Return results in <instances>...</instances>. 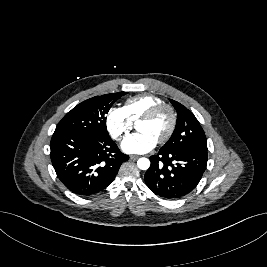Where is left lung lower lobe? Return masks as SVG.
Masks as SVG:
<instances>
[{
  "instance_id": "obj_1",
  "label": "left lung lower lobe",
  "mask_w": 267,
  "mask_h": 267,
  "mask_svg": "<svg viewBox=\"0 0 267 267\" xmlns=\"http://www.w3.org/2000/svg\"><path fill=\"white\" fill-rule=\"evenodd\" d=\"M207 151L199 149L159 150L150 157L145 182L155 194L178 199L190 193L199 183L207 165Z\"/></svg>"
}]
</instances>
